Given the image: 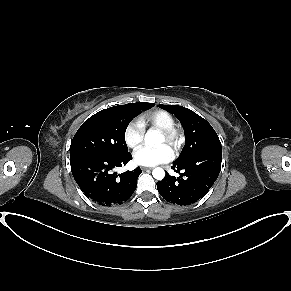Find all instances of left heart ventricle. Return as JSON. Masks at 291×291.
I'll list each match as a JSON object with an SVG mask.
<instances>
[{
  "mask_svg": "<svg viewBox=\"0 0 291 291\" xmlns=\"http://www.w3.org/2000/svg\"><path fill=\"white\" fill-rule=\"evenodd\" d=\"M158 145L164 144L165 142V138L162 134H160L159 139H158Z\"/></svg>",
  "mask_w": 291,
  "mask_h": 291,
  "instance_id": "left-heart-ventricle-1",
  "label": "left heart ventricle"
}]
</instances>
